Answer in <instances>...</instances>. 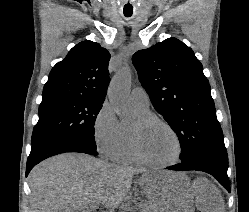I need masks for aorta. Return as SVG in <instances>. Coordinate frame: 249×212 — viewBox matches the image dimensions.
<instances>
[{
	"label": "aorta",
	"mask_w": 249,
	"mask_h": 212,
	"mask_svg": "<svg viewBox=\"0 0 249 212\" xmlns=\"http://www.w3.org/2000/svg\"><path fill=\"white\" fill-rule=\"evenodd\" d=\"M131 85V70L129 66L121 67L113 76L109 89L108 98L114 111L121 119H126L130 115L128 105V95Z\"/></svg>",
	"instance_id": "obj_1"
}]
</instances>
